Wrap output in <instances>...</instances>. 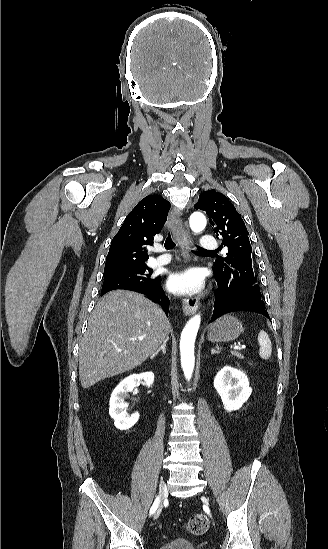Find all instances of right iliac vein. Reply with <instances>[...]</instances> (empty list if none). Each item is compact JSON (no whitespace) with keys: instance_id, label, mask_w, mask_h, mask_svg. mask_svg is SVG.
<instances>
[{"instance_id":"right-iliac-vein-1","label":"right iliac vein","mask_w":328,"mask_h":549,"mask_svg":"<svg viewBox=\"0 0 328 549\" xmlns=\"http://www.w3.org/2000/svg\"><path fill=\"white\" fill-rule=\"evenodd\" d=\"M166 496H167L166 484L163 480H161L159 485V505L154 514V520H157L159 518L162 511V502Z\"/></svg>"}]
</instances>
